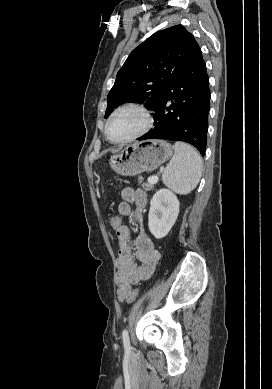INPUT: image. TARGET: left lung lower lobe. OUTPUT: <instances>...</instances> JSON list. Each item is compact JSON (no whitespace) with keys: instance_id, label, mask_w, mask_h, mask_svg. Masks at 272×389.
I'll list each match as a JSON object with an SVG mask.
<instances>
[{"instance_id":"left-lung-lower-lobe-1","label":"left lung lower lobe","mask_w":272,"mask_h":389,"mask_svg":"<svg viewBox=\"0 0 272 389\" xmlns=\"http://www.w3.org/2000/svg\"><path fill=\"white\" fill-rule=\"evenodd\" d=\"M209 78L201 50L165 88L154 109L155 128L138 140L183 141L205 154L210 110Z\"/></svg>"}]
</instances>
